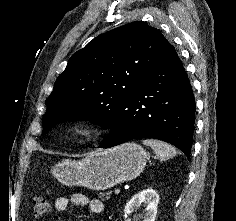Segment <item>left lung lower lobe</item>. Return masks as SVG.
<instances>
[{
    "mask_svg": "<svg viewBox=\"0 0 236 221\" xmlns=\"http://www.w3.org/2000/svg\"><path fill=\"white\" fill-rule=\"evenodd\" d=\"M194 124L191 84L177 52L166 41L120 108L101 147L155 138L176 146L189 158Z\"/></svg>",
    "mask_w": 236,
    "mask_h": 221,
    "instance_id": "0a47b994",
    "label": "left lung lower lobe"
}]
</instances>
